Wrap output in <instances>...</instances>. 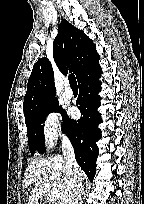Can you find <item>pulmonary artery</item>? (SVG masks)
I'll use <instances>...</instances> for the list:
<instances>
[{"instance_id": "obj_1", "label": "pulmonary artery", "mask_w": 144, "mask_h": 204, "mask_svg": "<svg viewBox=\"0 0 144 204\" xmlns=\"http://www.w3.org/2000/svg\"><path fill=\"white\" fill-rule=\"evenodd\" d=\"M63 95L67 99H71L73 97V91L67 82H66L65 87L63 89Z\"/></svg>"}]
</instances>
